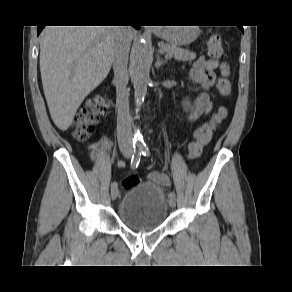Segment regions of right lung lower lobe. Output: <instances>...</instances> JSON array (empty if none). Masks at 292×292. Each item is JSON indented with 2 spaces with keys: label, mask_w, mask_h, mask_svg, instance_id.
<instances>
[{
  "label": "right lung lower lobe",
  "mask_w": 292,
  "mask_h": 292,
  "mask_svg": "<svg viewBox=\"0 0 292 292\" xmlns=\"http://www.w3.org/2000/svg\"><path fill=\"white\" fill-rule=\"evenodd\" d=\"M135 28H139L140 26L136 25L134 26ZM44 28V26H38V29H37V34L39 35V33L42 31V29Z\"/></svg>",
  "instance_id": "obj_1"
}]
</instances>
